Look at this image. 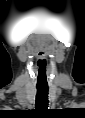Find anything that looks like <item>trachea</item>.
I'll return each mask as SVG.
<instances>
[{"label":"trachea","mask_w":85,"mask_h":118,"mask_svg":"<svg viewBox=\"0 0 85 118\" xmlns=\"http://www.w3.org/2000/svg\"><path fill=\"white\" fill-rule=\"evenodd\" d=\"M48 106V89H37L36 108L44 109Z\"/></svg>","instance_id":"obj_1"}]
</instances>
